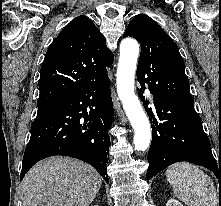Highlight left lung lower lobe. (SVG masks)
Instances as JSON below:
<instances>
[{
	"mask_svg": "<svg viewBox=\"0 0 221 206\" xmlns=\"http://www.w3.org/2000/svg\"><path fill=\"white\" fill-rule=\"evenodd\" d=\"M138 94L145 105L152 126V143L148 152L149 168L147 181L169 165L187 161L210 169L221 181V164L216 163L211 145L205 134L201 119L194 107L171 104L154 96L156 114L161 123L153 116L147 106L142 91Z\"/></svg>",
	"mask_w": 221,
	"mask_h": 206,
	"instance_id": "obj_1",
	"label": "left lung lower lobe"
}]
</instances>
